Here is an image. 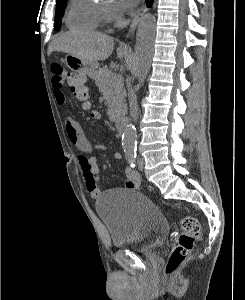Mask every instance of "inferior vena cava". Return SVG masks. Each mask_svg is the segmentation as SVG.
Wrapping results in <instances>:
<instances>
[{
  "instance_id": "obj_1",
  "label": "inferior vena cava",
  "mask_w": 245,
  "mask_h": 300,
  "mask_svg": "<svg viewBox=\"0 0 245 300\" xmlns=\"http://www.w3.org/2000/svg\"><path fill=\"white\" fill-rule=\"evenodd\" d=\"M128 99H129V108H130V115L133 121L136 122L138 118V105H137V98L135 92L132 88L128 89Z\"/></svg>"
}]
</instances>
